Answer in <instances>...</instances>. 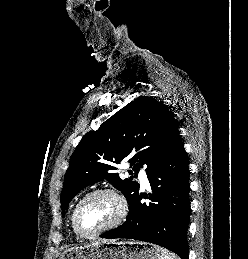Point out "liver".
Returning <instances> with one entry per match:
<instances>
[{"label":"liver","mask_w":248,"mask_h":259,"mask_svg":"<svg viewBox=\"0 0 248 259\" xmlns=\"http://www.w3.org/2000/svg\"><path fill=\"white\" fill-rule=\"evenodd\" d=\"M115 240H107V239H101V240H98L90 245H96V244H99L100 242H114Z\"/></svg>","instance_id":"6515ba94"}]
</instances>
